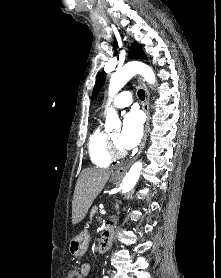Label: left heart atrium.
Segmentation results:
<instances>
[{"mask_svg":"<svg viewBox=\"0 0 221 278\" xmlns=\"http://www.w3.org/2000/svg\"><path fill=\"white\" fill-rule=\"evenodd\" d=\"M142 133V115L138 111L132 110L124 117L123 128L118 136V144L125 149L134 148L140 142Z\"/></svg>","mask_w":221,"mask_h":278,"instance_id":"1","label":"left heart atrium"}]
</instances>
